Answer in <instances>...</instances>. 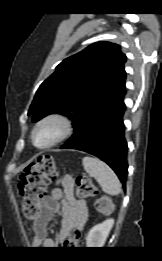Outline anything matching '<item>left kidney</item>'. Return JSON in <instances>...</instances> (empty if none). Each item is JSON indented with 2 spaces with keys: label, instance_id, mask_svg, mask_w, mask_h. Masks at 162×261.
<instances>
[{
  "label": "left kidney",
  "instance_id": "1",
  "mask_svg": "<svg viewBox=\"0 0 162 261\" xmlns=\"http://www.w3.org/2000/svg\"><path fill=\"white\" fill-rule=\"evenodd\" d=\"M114 220L107 219L101 224H97L91 228L87 237H86V245L89 248H100L106 242V239L113 227Z\"/></svg>",
  "mask_w": 162,
  "mask_h": 261
}]
</instances>
